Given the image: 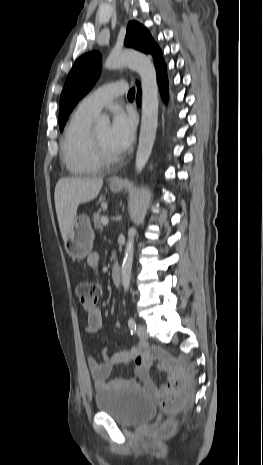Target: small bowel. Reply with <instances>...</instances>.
Segmentation results:
<instances>
[{
	"instance_id": "obj_1",
	"label": "small bowel",
	"mask_w": 263,
	"mask_h": 465,
	"mask_svg": "<svg viewBox=\"0 0 263 465\" xmlns=\"http://www.w3.org/2000/svg\"><path fill=\"white\" fill-rule=\"evenodd\" d=\"M99 261L100 257L98 253H92L87 258V264L92 269L98 267ZM102 322L103 317L100 308H95L92 311H89L87 315V324L84 328L85 334H96L101 328ZM117 326L119 327V323H117ZM143 349V345H137L132 347L130 350L120 351L110 356L107 349L104 348L101 351V362H98L93 356L88 357L87 364L96 389L127 387L132 389H143L153 395L165 393V387L159 390L150 379L149 369L142 355ZM129 363L135 364V374L137 375L139 382L123 377H114L109 380L112 367L114 365ZM170 378L173 382L175 380V375L170 373Z\"/></svg>"
}]
</instances>
